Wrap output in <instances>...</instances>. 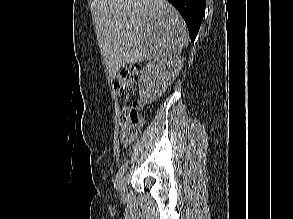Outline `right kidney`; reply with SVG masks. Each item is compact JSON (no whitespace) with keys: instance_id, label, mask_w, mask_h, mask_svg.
<instances>
[{"instance_id":"1","label":"right kidney","mask_w":293,"mask_h":219,"mask_svg":"<svg viewBox=\"0 0 293 219\" xmlns=\"http://www.w3.org/2000/svg\"><path fill=\"white\" fill-rule=\"evenodd\" d=\"M183 63L184 59L178 56L156 58L147 63L139 79L142 101L151 103L161 97L179 74Z\"/></svg>"}]
</instances>
